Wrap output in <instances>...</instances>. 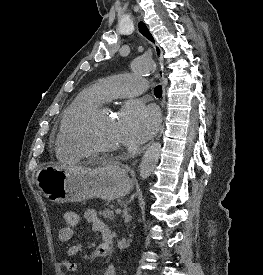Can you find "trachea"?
I'll return each mask as SVG.
<instances>
[{
    "instance_id": "1",
    "label": "trachea",
    "mask_w": 263,
    "mask_h": 275,
    "mask_svg": "<svg viewBox=\"0 0 263 275\" xmlns=\"http://www.w3.org/2000/svg\"><path fill=\"white\" fill-rule=\"evenodd\" d=\"M154 94L157 98H160L162 96V86L158 85L154 89Z\"/></svg>"
}]
</instances>
